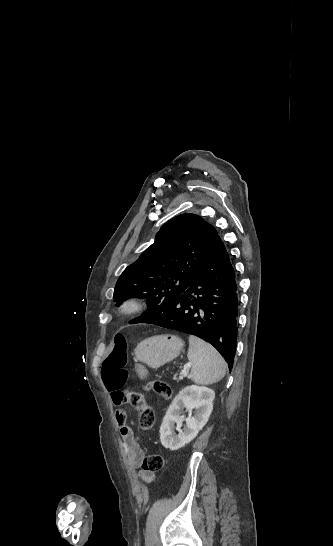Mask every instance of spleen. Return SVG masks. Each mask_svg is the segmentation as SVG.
<instances>
[{"mask_svg": "<svg viewBox=\"0 0 333 546\" xmlns=\"http://www.w3.org/2000/svg\"><path fill=\"white\" fill-rule=\"evenodd\" d=\"M188 359L192 364L191 376L196 384L208 385L220 381L226 373L222 356L202 339L189 336Z\"/></svg>", "mask_w": 333, "mask_h": 546, "instance_id": "3e777b00", "label": "spleen"}]
</instances>
